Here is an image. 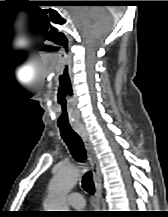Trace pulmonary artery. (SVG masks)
I'll return each instance as SVG.
<instances>
[{
	"instance_id": "1",
	"label": "pulmonary artery",
	"mask_w": 168,
	"mask_h": 217,
	"mask_svg": "<svg viewBox=\"0 0 168 217\" xmlns=\"http://www.w3.org/2000/svg\"><path fill=\"white\" fill-rule=\"evenodd\" d=\"M67 202L75 209H81L85 206L83 195L78 192H72L67 196Z\"/></svg>"
}]
</instances>
